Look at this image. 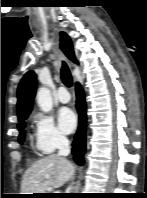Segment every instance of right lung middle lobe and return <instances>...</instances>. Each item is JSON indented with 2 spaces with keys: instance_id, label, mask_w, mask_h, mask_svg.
I'll return each mask as SVG.
<instances>
[{
  "instance_id": "1",
  "label": "right lung middle lobe",
  "mask_w": 147,
  "mask_h": 198,
  "mask_svg": "<svg viewBox=\"0 0 147 198\" xmlns=\"http://www.w3.org/2000/svg\"><path fill=\"white\" fill-rule=\"evenodd\" d=\"M27 118L23 119L22 121H20L18 123V130H19V137H18V140H19V143H22L24 141V137H25V131H24V128H25V125H26V120Z\"/></svg>"
}]
</instances>
